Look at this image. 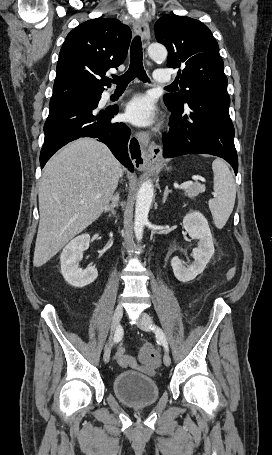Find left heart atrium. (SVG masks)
<instances>
[{"instance_id": "left-heart-atrium-1", "label": "left heart atrium", "mask_w": 272, "mask_h": 455, "mask_svg": "<svg viewBox=\"0 0 272 455\" xmlns=\"http://www.w3.org/2000/svg\"><path fill=\"white\" fill-rule=\"evenodd\" d=\"M127 119L135 125L147 126L156 118V108L150 97L137 95L130 100L125 109Z\"/></svg>"}]
</instances>
